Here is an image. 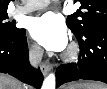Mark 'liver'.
Segmentation results:
<instances>
[{
	"instance_id": "liver-1",
	"label": "liver",
	"mask_w": 107,
	"mask_h": 89,
	"mask_svg": "<svg viewBox=\"0 0 107 89\" xmlns=\"http://www.w3.org/2000/svg\"><path fill=\"white\" fill-rule=\"evenodd\" d=\"M98 83H92L87 85H82L84 87H94ZM0 89H27L21 82L8 76L1 74L0 76Z\"/></svg>"
}]
</instances>
